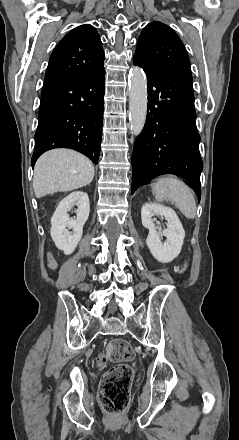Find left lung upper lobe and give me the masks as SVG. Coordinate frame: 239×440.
<instances>
[{"label": "left lung upper lobe", "mask_w": 239, "mask_h": 440, "mask_svg": "<svg viewBox=\"0 0 239 440\" xmlns=\"http://www.w3.org/2000/svg\"><path fill=\"white\" fill-rule=\"evenodd\" d=\"M134 57L148 66L190 70L188 53L182 41L173 29L158 21L143 28Z\"/></svg>", "instance_id": "left-lung-upper-lobe-1"}]
</instances>
